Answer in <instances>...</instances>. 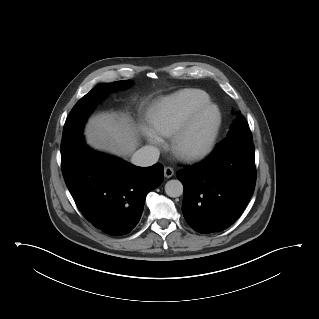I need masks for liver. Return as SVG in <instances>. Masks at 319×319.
<instances>
[{
    "mask_svg": "<svg viewBox=\"0 0 319 319\" xmlns=\"http://www.w3.org/2000/svg\"><path fill=\"white\" fill-rule=\"evenodd\" d=\"M87 143L120 157L130 156L139 144L138 132L123 113H101L89 119L85 128Z\"/></svg>",
    "mask_w": 319,
    "mask_h": 319,
    "instance_id": "1",
    "label": "liver"
}]
</instances>
